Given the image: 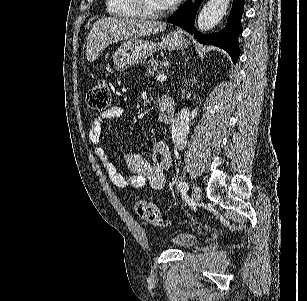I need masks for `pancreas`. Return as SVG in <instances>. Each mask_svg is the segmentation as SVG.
<instances>
[{
    "mask_svg": "<svg viewBox=\"0 0 307 301\" xmlns=\"http://www.w3.org/2000/svg\"><path fill=\"white\" fill-rule=\"evenodd\" d=\"M165 62H161V60H152L149 66L145 68V76H155V74H160L163 72L162 68H164Z\"/></svg>",
    "mask_w": 307,
    "mask_h": 301,
    "instance_id": "cf45deb5",
    "label": "pancreas"
}]
</instances>
